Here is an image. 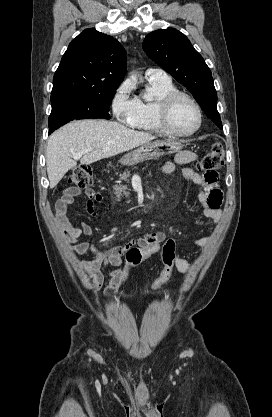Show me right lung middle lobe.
Segmentation results:
<instances>
[{"label":"right lung middle lobe","instance_id":"right-lung-middle-lobe-1","mask_svg":"<svg viewBox=\"0 0 272 417\" xmlns=\"http://www.w3.org/2000/svg\"><path fill=\"white\" fill-rule=\"evenodd\" d=\"M116 89L51 94L49 133L74 119H110L108 111Z\"/></svg>","mask_w":272,"mask_h":417}]
</instances>
